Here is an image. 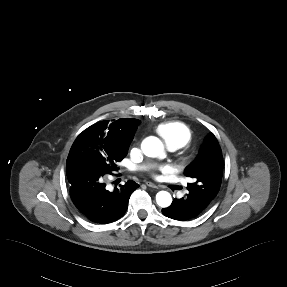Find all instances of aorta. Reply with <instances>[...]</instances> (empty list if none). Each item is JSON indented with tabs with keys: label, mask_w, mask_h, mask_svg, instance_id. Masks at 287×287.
<instances>
[{
	"label": "aorta",
	"mask_w": 287,
	"mask_h": 287,
	"mask_svg": "<svg viewBox=\"0 0 287 287\" xmlns=\"http://www.w3.org/2000/svg\"><path fill=\"white\" fill-rule=\"evenodd\" d=\"M141 149L148 157H158L163 154L164 146L157 137L150 136L143 140ZM156 202L163 208L170 206L172 203L171 194L167 191L158 192L156 194Z\"/></svg>",
	"instance_id": "1"
}]
</instances>
